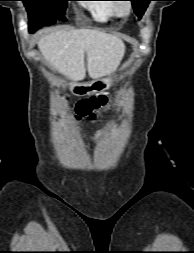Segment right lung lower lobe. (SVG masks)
Here are the masks:
<instances>
[{
    "instance_id": "right-lung-lower-lobe-1",
    "label": "right lung lower lobe",
    "mask_w": 194,
    "mask_h": 253,
    "mask_svg": "<svg viewBox=\"0 0 194 253\" xmlns=\"http://www.w3.org/2000/svg\"><path fill=\"white\" fill-rule=\"evenodd\" d=\"M29 31H30V32H34L32 28H29Z\"/></svg>"
}]
</instances>
